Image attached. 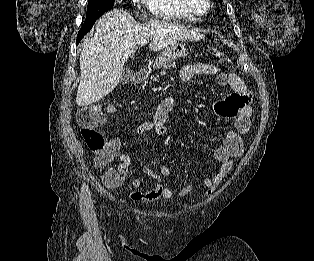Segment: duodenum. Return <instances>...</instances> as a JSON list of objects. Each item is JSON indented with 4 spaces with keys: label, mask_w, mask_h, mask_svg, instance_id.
<instances>
[{
    "label": "duodenum",
    "mask_w": 314,
    "mask_h": 261,
    "mask_svg": "<svg viewBox=\"0 0 314 261\" xmlns=\"http://www.w3.org/2000/svg\"><path fill=\"white\" fill-rule=\"evenodd\" d=\"M145 79H146V73H145V71L140 70V71H137V72L133 75V77H132V83H133V84H141V83H143V82L145 81Z\"/></svg>",
    "instance_id": "obj_1"
}]
</instances>
